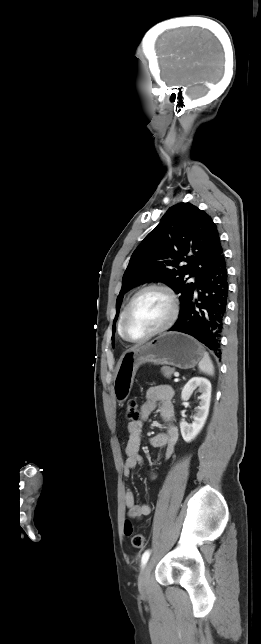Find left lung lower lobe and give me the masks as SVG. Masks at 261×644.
I'll list each match as a JSON object with an SVG mask.
<instances>
[{
	"label": "left lung lower lobe",
	"instance_id": "0a47b994",
	"mask_svg": "<svg viewBox=\"0 0 261 644\" xmlns=\"http://www.w3.org/2000/svg\"><path fill=\"white\" fill-rule=\"evenodd\" d=\"M229 293L228 273L222 253L208 268L193 297L170 331L189 334L221 355V332Z\"/></svg>",
	"mask_w": 261,
	"mask_h": 644
}]
</instances>
